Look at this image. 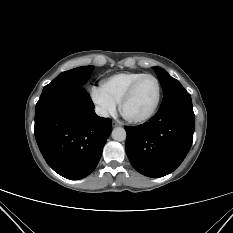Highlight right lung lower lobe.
Instances as JSON below:
<instances>
[{"label":"right lung lower lobe","mask_w":233,"mask_h":233,"mask_svg":"<svg viewBox=\"0 0 233 233\" xmlns=\"http://www.w3.org/2000/svg\"><path fill=\"white\" fill-rule=\"evenodd\" d=\"M111 131L112 121L95 114L81 86L43 91L36 104L37 144L49 166L65 178L81 179L95 169Z\"/></svg>","instance_id":"98d812e1"}]
</instances>
